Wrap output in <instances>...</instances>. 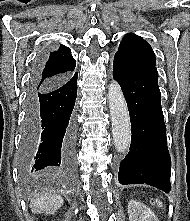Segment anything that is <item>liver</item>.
I'll list each match as a JSON object with an SVG mask.
<instances>
[{"label":"liver","instance_id":"obj_1","mask_svg":"<svg viewBox=\"0 0 190 221\" xmlns=\"http://www.w3.org/2000/svg\"><path fill=\"white\" fill-rule=\"evenodd\" d=\"M62 205L60 196L44 193L32 200L31 208L35 213L54 214Z\"/></svg>","mask_w":190,"mask_h":221}]
</instances>
